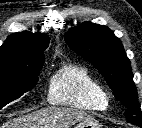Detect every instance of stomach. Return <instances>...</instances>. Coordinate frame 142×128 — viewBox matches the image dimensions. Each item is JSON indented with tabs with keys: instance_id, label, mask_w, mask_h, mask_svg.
Returning a JSON list of instances; mask_svg holds the SVG:
<instances>
[{
	"instance_id": "stomach-1",
	"label": "stomach",
	"mask_w": 142,
	"mask_h": 128,
	"mask_svg": "<svg viewBox=\"0 0 142 128\" xmlns=\"http://www.w3.org/2000/svg\"><path fill=\"white\" fill-rule=\"evenodd\" d=\"M74 128H101V126L95 119L89 118L80 121Z\"/></svg>"
}]
</instances>
